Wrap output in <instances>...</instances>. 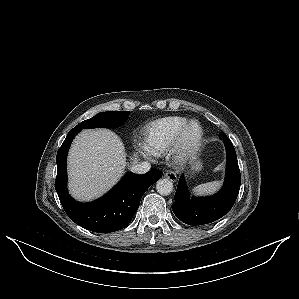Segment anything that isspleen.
I'll list each match as a JSON object with an SVG mask.
<instances>
[{"instance_id": "1", "label": "spleen", "mask_w": 299, "mask_h": 299, "mask_svg": "<svg viewBox=\"0 0 299 299\" xmlns=\"http://www.w3.org/2000/svg\"><path fill=\"white\" fill-rule=\"evenodd\" d=\"M220 185L221 181L208 182L192 188L191 191L195 196L210 195L216 192L219 189Z\"/></svg>"}]
</instances>
